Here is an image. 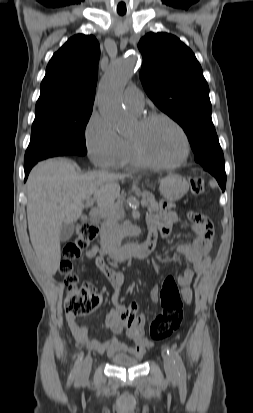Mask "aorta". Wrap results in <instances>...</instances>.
<instances>
[{"label":"aorta","mask_w":253,"mask_h":413,"mask_svg":"<svg viewBox=\"0 0 253 413\" xmlns=\"http://www.w3.org/2000/svg\"><path fill=\"white\" fill-rule=\"evenodd\" d=\"M136 56L115 60L102 77L98 88V109L117 130L131 128L132 119L123 105L122 94L133 75Z\"/></svg>","instance_id":"762f6f07"}]
</instances>
